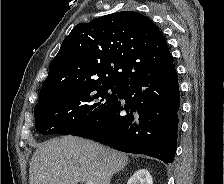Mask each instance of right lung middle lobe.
I'll return each instance as SVG.
<instances>
[{"label":"right lung middle lobe","instance_id":"obj_1","mask_svg":"<svg viewBox=\"0 0 224 184\" xmlns=\"http://www.w3.org/2000/svg\"><path fill=\"white\" fill-rule=\"evenodd\" d=\"M122 85L84 83L62 90L34 108L36 130L46 134H71L101 116L114 103Z\"/></svg>","mask_w":224,"mask_h":184}]
</instances>
